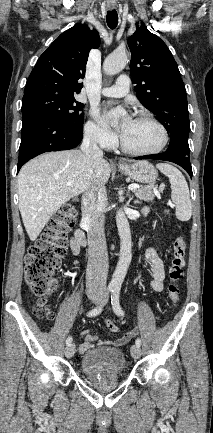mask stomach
I'll return each mask as SVG.
<instances>
[{"instance_id":"0dacf381","label":"stomach","mask_w":213,"mask_h":433,"mask_svg":"<svg viewBox=\"0 0 213 433\" xmlns=\"http://www.w3.org/2000/svg\"><path fill=\"white\" fill-rule=\"evenodd\" d=\"M119 170L132 178L133 180L141 183L154 184L157 178V171L153 165L147 161H137L131 164L119 166Z\"/></svg>"}]
</instances>
